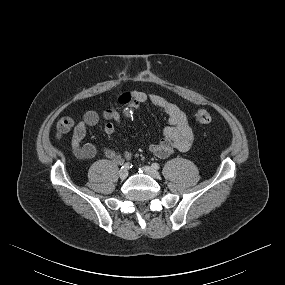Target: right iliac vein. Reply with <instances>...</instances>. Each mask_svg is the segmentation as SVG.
<instances>
[{
  "instance_id": "obj_1",
  "label": "right iliac vein",
  "mask_w": 285,
  "mask_h": 285,
  "mask_svg": "<svg viewBox=\"0 0 285 285\" xmlns=\"http://www.w3.org/2000/svg\"><path fill=\"white\" fill-rule=\"evenodd\" d=\"M127 176H128V171H127L126 169H121V170L119 171V177H120L121 179H126Z\"/></svg>"
}]
</instances>
